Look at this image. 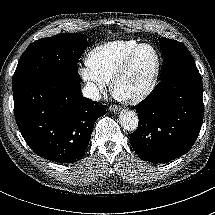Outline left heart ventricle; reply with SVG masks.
Returning a JSON list of instances; mask_svg holds the SVG:
<instances>
[{"instance_id": "1", "label": "left heart ventricle", "mask_w": 215, "mask_h": 215, "mask_svg": "<svg viewBox=\"0 0 215 215\" xmlns=\"http://www.w3.org/2000/svg\"><path fill=\"white\" fill-rule=\"evenodd\" d=\"M155 64V53L150 47L141 48L135 55L131 66L119 84V92L133 95L144 84L149 72Z\"/></svg>"}]
</instances>
